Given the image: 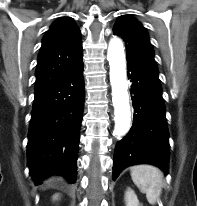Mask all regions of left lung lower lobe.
Wrapping results in <instances>:
<instances>
[{
	"mask_svg": "<svg viewBox=\"0 0 197 206\" xmlns=\"http://www.w3.org/2000/svg\"><path fill=\"white\" fill-rule=\"evenodd\" d=\"M127 69L132 82L133 125L116 144L113 180L130 165L149 163L165 173L169 166V133L161 85L130 63Z\"/></svg>",
	"mask_w": 197,
	"mask_h": 206,
	"instance_id": "left-lung-lower-lobe-1",
	"label": "left lung lower lobe"
}]
</instances>
